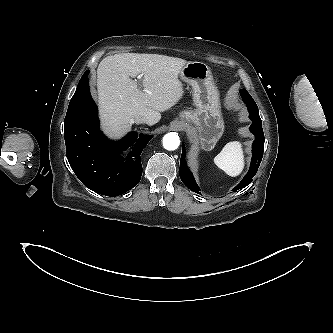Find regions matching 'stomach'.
I'll return each mask as SVG.
<instances>
[{"label":"stomach","mask_w":333,"mask_h":333,"mask_svg":"<svg viewBox=\"0 0 333 333\" xmlns=\"http://www.w3.org/2000/svg\"><path fill=\"white\" fill-rule=\"evenodd\" d=\"M180 77L192 86L196 109L181 112L179 120L198 132L204 150H212L224 132V121L211 70L203 62L190 61L181 69Z\"/></svg>","instance_id":"obj_1"}]
</instances>
